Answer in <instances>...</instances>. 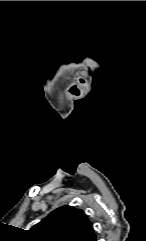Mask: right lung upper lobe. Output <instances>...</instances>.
I'll list each match as a JSON object with an SVG mask.
<instances>
[{"instance_id": "obj_1", "label": "right lung upper lobe", "mask_w": 146, "mask_h": 241, "mask_svg": "<svg viewBox=\"0 0 146 241\" xmlns=\"http://www.w3.org/2000/svg\"><path fill=\"white\" fill-rule=\"evenodd\" d=\"M32 241H97L92 222L81 209L62 206L28 232Z\"/></svg>"}]
</instances>
